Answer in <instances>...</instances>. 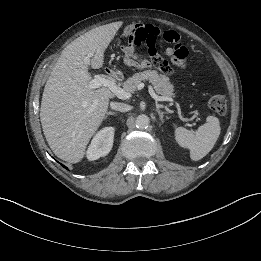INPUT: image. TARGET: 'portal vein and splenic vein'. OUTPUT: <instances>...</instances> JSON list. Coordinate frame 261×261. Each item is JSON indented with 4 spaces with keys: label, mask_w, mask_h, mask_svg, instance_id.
I'll return each mask as SVG.
<instances>
[{
    "label": "portal vein and splenic vein",
    "mask_w": 261,
    "mask_h": 261,
    "mask_svg": "<svg viewBox=\"0 0 261 261\" xmlns=\"http://www.w3.org/2000/svg\"><path fill=\"white\" fill-rule=\"evenodd\" d=\"M92 57V53H89L85 57V62L89 64L90 58ZM101 86L107 87L109 90H111L118 98L120 99H129L132 97L130 92L125 91L121 87L117 86L113 81L104 78L102 75H95L94 78L90 81L89 87L91 89L100 88ZM144 87L143 83H140L138 85V89H142ZM148 91L153 99L156 101H169L171 104L173 103V99L170 97H164V96H158L155 91L153 90L152 86H148Z\"/></svg>",
    "instance_id": "portal-vein-and-splenic-vein-1"
}]
</instances>
